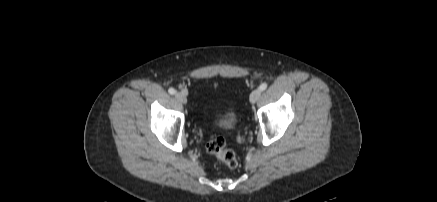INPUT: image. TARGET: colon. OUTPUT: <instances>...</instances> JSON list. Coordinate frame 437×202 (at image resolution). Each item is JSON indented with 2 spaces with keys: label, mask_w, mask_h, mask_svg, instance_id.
<instances>
[{
  "label": "colon",
  "mask_w": 437,
  "mask_h": 202,
  "mask_svg": "<svg viewBox=\"0 0 437 202\" xmlns=\"http://www.w3.org/2000/svg\"><path fill=\"white\" fill-rule=\"evenodd\" d=\"M206 151L217 157L230 169H235L238 166L236 154L232 150L226 148V142L224 138L220 136L213 134L210 135L206 144Z\"/></svg>",
  "instance_id": "obj_1"
}]
</instances>
